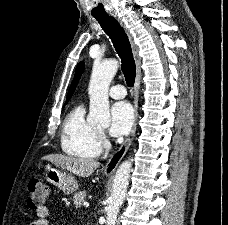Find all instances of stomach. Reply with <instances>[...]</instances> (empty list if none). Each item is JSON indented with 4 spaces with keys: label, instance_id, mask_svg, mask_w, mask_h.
I'll return each mask as SVG.
<instances>
[{
    "label": "stomach",
    "instance_id": "1",
    "mask_svg": "<svg viewBox=\"0 0 228 225\" xmlns=\"http://www.w3.org/2000/svg\"><path fill=\"white\" fill-rule=\"evenodd\" d=\"M44 175L48 183H52V185L61 189L65 195H72V193L78 191V181L64 169H54V167L47 165Z\"/></svg>",
    "mask_w": 228,
    "mask_h": 225
}]
</instances>
